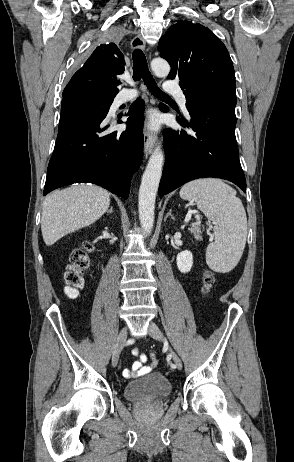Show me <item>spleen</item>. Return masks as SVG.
<instances>
[{"label": "spleen", "instance_id": "3e777b00", "mask_svg": "<svg viewBox=\"0 0 294 462\" xmlns=\"http://www.w3.org/2000/svg\"><path fill=\"white\" fill-rule=\"evenodd\" d=\"M185 200L197 207L214 223L215 241L208 245L206 262L216 272L231 271L239 262L247 237V218L236 191L220 179H198L180 190Z\"/></svg>", "mask_w": 294, "mask_h": 462}]
</instances>
